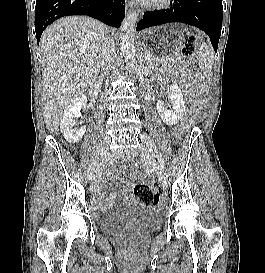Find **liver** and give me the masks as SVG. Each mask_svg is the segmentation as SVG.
<instances>
[{"label":"liver","instance_id":"obj_1","mask_svg":"<svg viewBox=\"0 0 265 273\" xmlns=\"http://www.w3.org/2000/svg\"><path fill=\"white\" fill-rule=\"evenodd\" d=\"M107 34L103 23L86 16L61 18L42 34L43 116L50 133H57L66 108L94 83Z\"/></svg>","mask_w":265,"mask_h":273}]
</instances>
